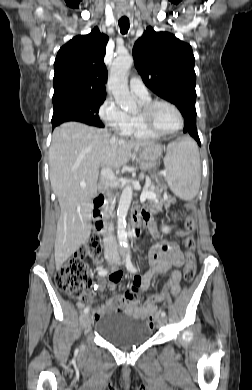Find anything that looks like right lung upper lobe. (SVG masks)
<instances>
[{
    "label": "right lung upper lobe",
    "instance_id": "obj_1",
    "mask_svg": "<svg viewBox=\"0 0 252 390\" xmlns=\"http://www.w3.org/2000/svg\"><path fill=\"white\" fill-rule=\"evenodd\" d=\"M108 37L95 27L60 48L54 62L52 101L70 97L106 98L104 64Z\"/></svg>",
    "mask_w": 252,
    "mask_h": 390
}]
</instances>
